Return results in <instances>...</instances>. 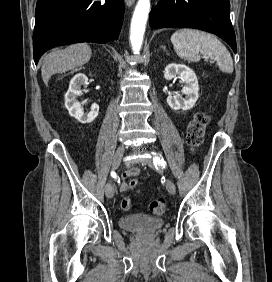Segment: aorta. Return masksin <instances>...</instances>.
I'll use <instances>...</instances> for the list:
<instances>
[{"label":"aorta","instance_id":"obj_1","mask_svg":"<svg viewBox=\"0 0 272 282\" xmlns=\"http://www.w3.org/2000/svg\"><path fill=\"white\" fill-rule=\"evenodd\" d=\"M149 11L150 0H138L130 28V43L135 54L139 53L142 47Z\"/></svg>","mask_w":272,"mask_h":282}]
</instances>
